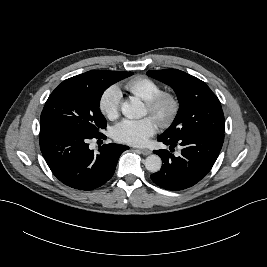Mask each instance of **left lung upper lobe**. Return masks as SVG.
I'll list each match as a JSON object with an SVG mask.
<instances>
[{
  "instance_id": "left-lung-upper-lobe-1",
  "label": "left lung upper lobe",
  "mask_w": 267,
  "mask_h": 267,
  "mask_svg": "<svg viewBox=\"0 0 267 267\" xmlns=\"http://www.w3.org/2000/svg\"><path fill=\"white\" fill-rule=\"evenodd\" d=\"M147 75L171 86L180 103L174 122L160 138L178 141L196 134H224L220 101L205 82L178 69L149 70Z\"/></svg>"
}]
</instances>
